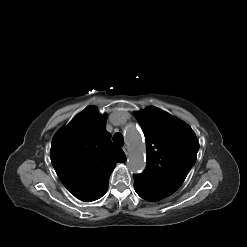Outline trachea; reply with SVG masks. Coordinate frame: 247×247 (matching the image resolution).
<instances>
[{
  "label": "trachea",
  "mask_w": 247,
  "mask_h": 247,
  "mask_svg": "<svg viewBox=\"0 0 247 247\" xmlns=\"http://www.w3.org/2000/svg\"><path fill=\"white\" fill-rule=\"evenodd\" d=\"M113 142L118 145V146H122L124 144V137L122 134L120 133H116L113 136Z\"/></svg>",
  "instance_id": "trachea-1"
}]
</instances>
